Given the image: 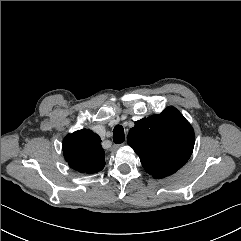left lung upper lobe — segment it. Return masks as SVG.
<instances>
[{"instance_id":"5c2ea615","label":"left lung upper lobe","mask_w":241,"mask_h":241,"mask_svg":"<svg viewBox=\"0 0 241 241\" xmlns=\"http://www.w3.org/2000/svg\"><path fill=\"white\" fill-rule=\"evenodd\" d=\"M194 141L193 128L173 107L136 121L127 139L145 171L154 178L172 175L185 165L192 154Z\"/></svg>"}]
</instances>
